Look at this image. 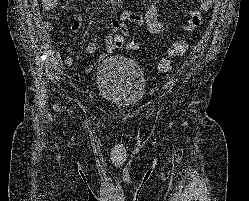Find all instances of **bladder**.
I'll use <instances>...</instances> for the list:
<instances>
[{"instance_id":"bladder-1","label":"bladder","mask_w":249,"mask_h":201,"mask_svg":"<svg viewBox=\"0 0 249 201\" xmlns=\"http://www.w3.org/2000/svg\"><path fill=\"white\" fill-rule=\"evenodd\" d=\"M97 84L107 103L131 109L142 99L145 79L140 67L123 56L105 58L96 71Z\"/></svg>"}]
</instances>
